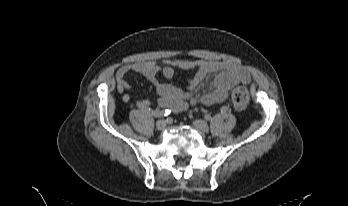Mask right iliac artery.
<instances>
[{"instance_id":"1","label":"right iliac artery","mask_w":348,"mask_h":206,"mask_svg":"<svg viewBox=\"0 0 348 206\" xmlns=\"http://www.w3.org/2000/svg\"><path fill=\"white\" fill-rule=\"evenodd\" d=\"M133 106H136L137 109L143 110L148 115H153L154 117H166L170 114V110L165 109L161 111H156L155 109H150L146 106L145 103H141L140 100L133 101Z\"/></svg>"}]
</instances>
